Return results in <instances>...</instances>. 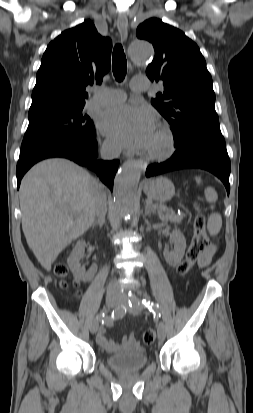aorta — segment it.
Here are the masks:
<instances>
[{
  "label": "aorta",
  "mask_w": 253,
  "mask_h": 413,
  "mask_svg": "<svg viewBox=\"0 0 253 413\" xmlns=\"http://www.w3.org/2000/svg\"><path fill=\"white\" fill-rule=\"evenodd\" d=\"M131 59L141 65L149 62L154 54L152 45L144 40H134L129 46ZM141 176V163L126 161L118 171L114 181V202L118 211L131 216L136 203V191Z\"/></svg>",
  "instance_id": "obj_1"
}]
</instances>
